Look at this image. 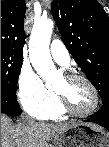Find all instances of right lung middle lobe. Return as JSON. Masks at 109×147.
I'll list each match as a JSON object with an SVG mask.
<instances>
[{
	"label": "right lung middle lobe",
	"instance_id": "right-lung-middle-lobe-1",
	"mask_svg": "<svg viewBox=\"0 0 109 147\" xmlns=\"http://www.w3.org/2000/svg\"><path fill=\"white\" fill-rule=\"evenodd\" d=\"M23 56L1 49V92L16 99V87Z\"/></svg>",
	"mask_w": 109,
	"mask_h": 147
}]
</instances>
